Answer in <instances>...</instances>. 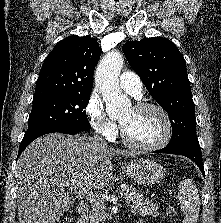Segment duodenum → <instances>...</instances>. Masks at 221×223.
<instances>
[{
  "label": "duodenum",
  "instance_id": "obj_1",
  "mask_svg": "<svg viewBox=\"0 0 221 223\" xmlns=\"http://www.w3.org/2000/svg\"><path fill=\"white\" fill-rule=\"evenodd\" d=\"M88 212V205L85 202H80L77 208V213L80 220H83L85 214Z\"/></svg>",
  "mask_w": 221,
  "mask_h": 223
}]
</instances>
